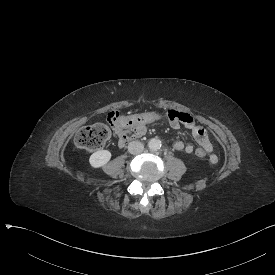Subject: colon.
Instances as JSON below:
<instances>
[{
    "label": "colon",
    "mask_w": 275,
    "mask_h": 275,
    "mask_svg": "<svg viewBox=\"0 0 275 275\" xmlns=\"http://www.w3.org/2000/svg\"><path fill=\"white\" fill-rule=\"evenodd\" d=\"M164 115L155 112H146L144 115L136 114L133 116L123 117L117 110H112L107 115V121L119 128H129L136 125L146 123H155L159 119H163ZM112 136V127L103 122L95 123L90 126L83 127L75 136L74 142L76 146L84 150H98L104 146L107 140ZM197 157H205L206 152L202 148L195 150Z\"/></svg>",
    "instance_id": "colon-1"
}]
</instances>
